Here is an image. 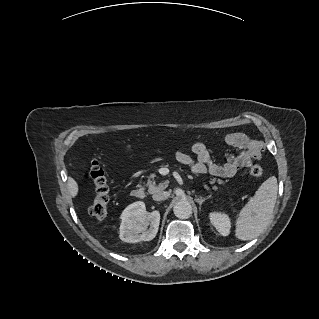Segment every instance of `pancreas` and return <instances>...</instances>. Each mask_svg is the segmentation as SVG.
Segmentation results:
<instances>
[{"label":"pancreas","mask_w":319,"mask_h":319,"mask_svg":"<svg viewBox=\"0 0 319 319\" xmlns=\"http://www.w3.org/2000/svg\"><path fill=\"white\" fill-rule=\"evenodd\" d=\"M215 182H217L218 184H224V181L221 179H216V178H212L210 180V183L214 184ZM148 192L150 194L156 193L158 191L164 190L167 188L168 186V182H163L160 183L159 185H156L155 181H154V175L150 176V179L148 180Z\"/></svg>","instance_id":"obj_1"}]
</instances>
